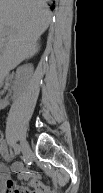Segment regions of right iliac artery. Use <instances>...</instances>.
<instances>
[{
	"label": "right iliac artery",
	"instance_id": "1",
	"mask_svg": "<svg viewBox=\"0 0 103 193\" xmlns=\"http://www.w3.org/2000/svg\"><path fill=\"white\" fill-rule=\"evenodd\" d=\"M14 151H15V153L18 155V154H20V146L19 145H15L14 146Z\"/></svg>",
	"mask_w": 103,
	"mask_h": 193
}]
</instances>
